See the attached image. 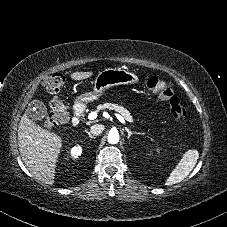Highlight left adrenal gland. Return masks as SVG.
I'll list each match as a JSON object with an SVG mask.
<instances>
[{"mask_svg": "<svg viewBox=\"0 0 227 227\" xmlns=\"http://www.w3.org/2000/svg\"><path fill=\"white\" fill-rule=\"evenodd\" d=\"M125 131L128 133V139L131 137L133 134H141L140 132H132L130 131L127 127L125 128Z\"/></svg>", "mask_w": 227, "mask_h": 227, "instance_id": "left-adrenal-gland-1", "label": "left adrenal gland"}]
</instances>
